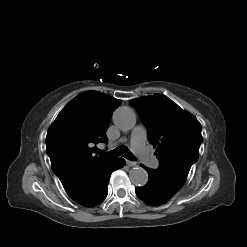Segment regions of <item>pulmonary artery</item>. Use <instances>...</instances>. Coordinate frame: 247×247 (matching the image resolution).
Returning a JSON list of instances; mask_svg holds the SVG:
<instances>
[{
  "label": "pulmonary artery",
  "mask_w": 247,
  "mask_h": 247,
  "mask_svg": "<svg viewBox=\"0 0 247 247\" xmlns=\"http://www.w3.org/2000/svg\"><path fill=\"white\" fill-rule=\"evenodd\" d=\"M146 129L143 126L134 128L131 136V145L134 152L143 159V161L150 167H157L159 161L152 156L146 148Z\"/></svg>",
  "instance_id": "pulmonary-artery-1"
}]
</instances>
